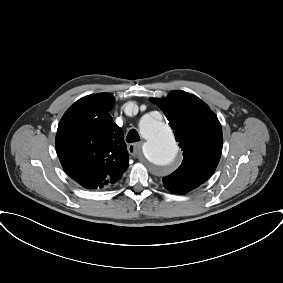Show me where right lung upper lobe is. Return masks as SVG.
Wrapping results in <instances>:
<instances>
[{"mask_svg":"<svg viewBox=\"0 0 283 283\" xmlns=\"http://www.w3.org/2000/svg\"><path fill=\"white\" fill-rule=\"evenodd\" d=\"M114 102L109 93L81 98L58 125L56 150L62 166L89 189L115 183L129 166L123 132L108 113Z\"/></svg>","mask_w":283,"mask_h":283,"instance_id":"obj_1","label":"right lung upper lobe"}]
</instances>
